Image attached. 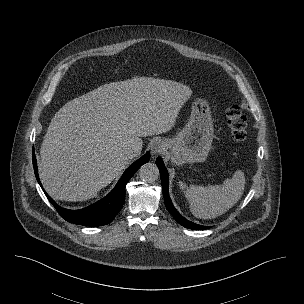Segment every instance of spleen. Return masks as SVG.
<instances>
[{
	"label": "spleen",
	"mask_w": 304,
	"mask_h": 304,
	"mask_svg": "<svg viewBox=\"0 0 304 304\" xmlns=\"http://www.w3.org/2000/svg\"><path fill=\"white\" fill-rule=\"evenodd\" d=\"M245 187V177L242 171L235 172L231 179H226L222 185L197 186L186 188L185 197L190 204V210L195 217L208 219L224 214L242 197Z\"/></svg>",
	"instance_id": "1"
}]
</instances>
